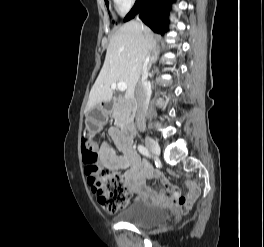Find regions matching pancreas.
<instances>
[{
  "mask_svg": "<svg viewBox=\"0 0 264 247\" xmlns=\"http://www.w3.org/2000/svg\"><path fill=\"white\" fill-rule=\"evenodd\" d=\"M130 101L123 98L119 99L114 105L112 110V116L115 119L116 124L121 125L129 119L130 115Z\"/></svg>",
  "mask_w": 264,
  "mask_h": 247,
  "instance_id": "pancreas-1",
  "label": "pancreas"
}]
</instances>
